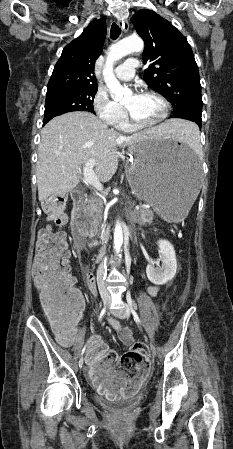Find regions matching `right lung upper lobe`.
I'll return each instance as SVG.
<instances>
[{
  "instance_id": "1",
  "label": "right lung upper lobe",
  "mask_w": 233,
  "mask_h": 449,
  "mask_svg": "<svg viewBox=\"0 0 233 449\" xmlns=\"http://www.w3.org/2000/svg\"><path fill=\"white\" fill-rule=\"evenodd\" d=\"M105 21V18L92 21L63 49L49 80L47 94L64 89L98 87L93 72L106 36Z\"/></svg>"
}]
</instances>
